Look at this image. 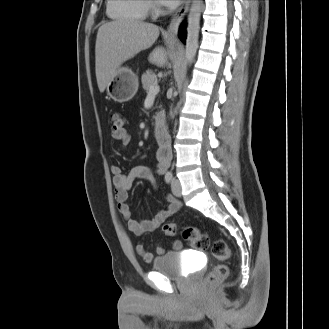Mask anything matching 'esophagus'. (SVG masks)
I'll use <instances>...</instances> for the list:
<instances>
[{
    "instance_id": "esophagus-1",
    "label": "esophagus",
    "mask_w": 329,
    "mask_h": 329,
    "mask_svg": "<svg viewBox=\"0 0 329 329\" xmlns=\"http://www.w3.org/2000/svg\"><path fill=\"white\" fill-rule=\"evenodd\" d=\"M191 0H182V3L178 10L173 15L168 27H167V34L169 35H177L178 29L180 24L182 23L186 13L189 10Z\"/></svg>"
}]
</instances>
